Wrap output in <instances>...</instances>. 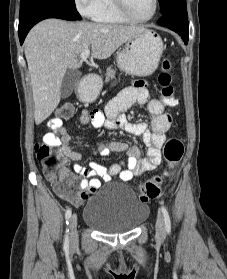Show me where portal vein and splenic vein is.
Masks as SVG:
<instances>
[{
  "instance_id": "portal-vein-and-splenic-vein-1",
  "label": "portal vein and splenic vein",
  "mask_w": 227,
  "mask_h": 279,
  "mask_svg": "<svg viewBox=\"0 0 227 279\" xmlns=\"http://www.w3.org/2000/svg\"><path fill=\"white\" fill-rule=\"evenodd\" d=\"M89 55H90V49H86L80 54V58L82 61H87Z\"/></svg>"
}]
</instances>
